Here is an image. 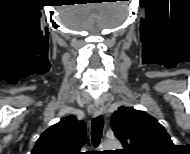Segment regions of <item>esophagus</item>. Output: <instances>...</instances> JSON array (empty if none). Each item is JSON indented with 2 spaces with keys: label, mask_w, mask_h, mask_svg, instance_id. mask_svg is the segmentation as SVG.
<instances>
[{
  "label": "esophagus",
  "mask_w": 190,
  "mask_h": 154,
  "mask_svg": "<svg viewBox=\"0 0 190 154\" xmlns=\"http://www.w3.org/2000/svg\"><path fill=\"white\" fill-rule=\"evenodd\" d=\"M105 110V106H104V102L102 99H98L94 105H93V108H92V113H93V116L97 117L99 115H101Z\"/></svg>",
  "instance_id": "34e87169"
}]
</instances>
